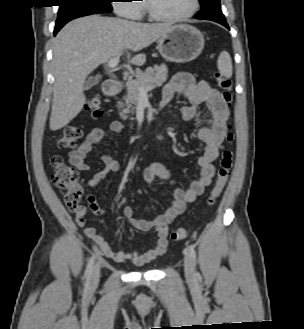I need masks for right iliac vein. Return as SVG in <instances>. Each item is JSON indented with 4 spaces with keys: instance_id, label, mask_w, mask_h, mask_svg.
<instances>
[{
    "instance_id": "1",
    "label": "right iliac vein",
    "mask_w": 304,
    "mask_h": 329,
    "mask_svg": "<svg viewBox=\"0 0 304 329\" xmlns=\"http://www.w3.org/2000/svg\"><path fill=\"white\" fill-rule=\"evenodd\" d=\"M100 268H101L100 264L97 263L95 265L94 269H93V272H92L91 278H90V282H91L92 285L97 284L98 281H99V278H100Z\"/></svg>"
}]
</instances>
